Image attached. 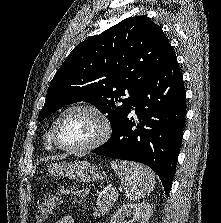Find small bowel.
<instances>
[{"label": "small bowel", "mask_w": 221, "mask_h": 223, "mask_svg": "<svg viewBox=\"0 0 221 223\" xmlns=\"http://www.w3.org/2000/svg\"><path fill=\"white\" fill-rule=\"evenodd\" d=\"M55 223H75V220L71 215L65 214Z\"/></svg>", "instance_id": "obj_1"}]
</instances>
